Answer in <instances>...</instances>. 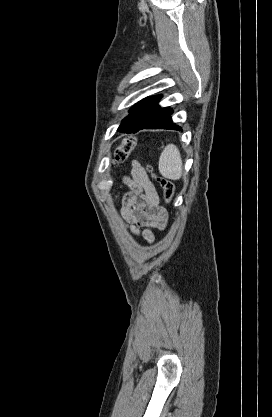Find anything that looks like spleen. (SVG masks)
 I'll use <instances>...</instances> for the list:
<instances>
[{
    "label": "spleen",
    "mask_w": 272,
    "mask_h": 417,
    "mask_svg": "<svg viewBox=\"0 0 272 417\" xmlns=\"http://www.w3.org/2000/svg\"><path fill=\"white\" fill-rule=\"evenodd\" d=\"M182 159L179 149L168 144L159 158V172L167 179L178 180L182 176Z\"/></svg>",
    "instance_id": "obj_1"
}]
</instances>
